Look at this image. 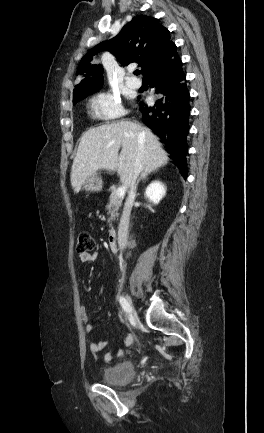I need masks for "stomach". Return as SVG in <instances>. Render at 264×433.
<instances>
[{"instance_id":"1","label":"stomach","mask_w":264,"mask_h":433,"mask_svg":"<svg viewBox=\"0 0 264 433\" xmlns=\"http://www.w3.org/2000/svg\"><path fill=\"white\" fill-rule=\"evenodd\" d=\"M102 179L97 176L88 177L82 185V189L86 192H99L102 189Z\"/></svg>"}]
</instances>
